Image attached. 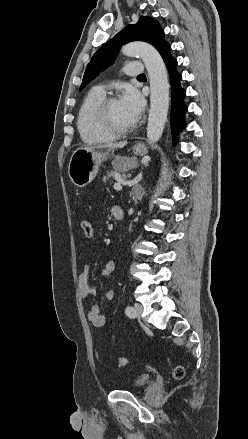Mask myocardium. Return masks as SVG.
Returning a JSON list of instances; mask_svg holds the SVG:
<instances>
[{
  "label": "myocardium",
  "instance_id": "obj_1",
  "mask_svg": "<svg viewBox=\"0 0 248 439\" xmlns=\"http://www.w3.org/2000/svg\"><path fill=\"white\" fill-rule=\"evenodd\" d=\"M118 98L115 96L105 97L97 106L95 110V120L98 125L107 133L112 134L114 136H123L131 133L136 125L132 124L131 126L121 128L115 126L110 118L109 108L112 102L117 101Z\"/></svg>",
  "mask_w": 248,
  "mask_h": 439
}]
</instances>
